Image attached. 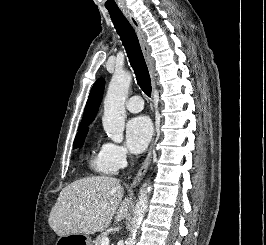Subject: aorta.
Masks as SVG:
<instances>
[{
  "instance_id": "762f6f07",
  "label": "aorta",
  "mask_w": 266,
  "mask_h": 245,
  "mask_svg": "<svg viewBox=\"0 0 266 245\" xmlns=\"http://www.w3.org/2000/svg\"><path fill=\"white\" fill-rule=\"evenodd\" d=\"M131 80L132 74L129 70L114 72L104 98L102 125L107 137L114 143H122L123 141L126 116L125 100L128 96ZM150 189V183H144L140 189L126 245H135L136 243L137 233H139L140 225H142L147 213Z\"/></svg>"
}]
</instances>
